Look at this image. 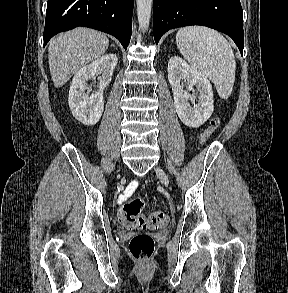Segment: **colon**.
I'll use <instances>...</instances> for the list:
<instances>
[{"label":"colon","instance_id":"1","mask_svg":"<svg viewBox=\"0 0 288 293\" xmlns=\"http://www.w3.org/2000/svg\"><path fill=\"white\" fill-rule=\"evenodd\" d=\"M220 121L213 119L210 125L200 136V143L204 144L210 136L218 129ZM144 200L134 198L124 203L119 210V221L128 229H160L168 222V215L164 211H154L143 214ZM154 251V240L150 235L138 234L130 241V252L137 260L149 259Z\"/></svg>","mask_w":288,"mask_h":293}]
</instances>
